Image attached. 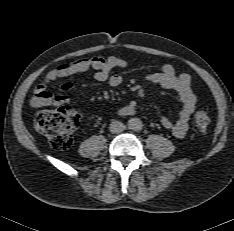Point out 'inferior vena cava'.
<instances>
[{
	"label": "inferior vena cava",
	"instance_id": "inferior-vena-cava-1",
	"mask_svg": "<svg viewBox=\"0 0 234 231\" xmlns=\"http://www.w3.org/2000/svg\"><path fill=\"white\" fill-rule=\"evenodd\" d=\"M109 128L111 133H121L124 131L125 125L120 121H113Z\"/></svg>",
	"mask_w": 234,
	"mask_h": 231
}]
</instances>
